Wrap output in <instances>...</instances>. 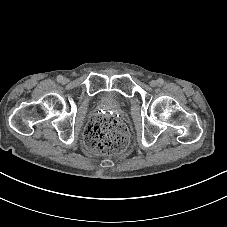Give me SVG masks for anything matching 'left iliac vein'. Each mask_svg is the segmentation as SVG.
Listing matches in <instances>:
<instances>
[{
  "label": "left iliac vein",
  "mask_w": 227,
  "mask_h": 227,
  "mask_svg": "<svg viewBox=\"0 0 227 227\" xmlns=\"http://www.w3.org/2000/svg\"><path fill=\"white\" fill-rule=\"evenodd\" d=\"M150 86H152V87L157 86V81L156 80H151L150 81Z\"/></svg>",
  "instance_id": "1"
}]
</instances>
